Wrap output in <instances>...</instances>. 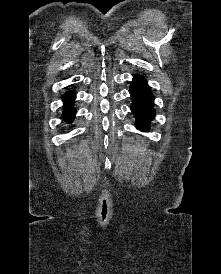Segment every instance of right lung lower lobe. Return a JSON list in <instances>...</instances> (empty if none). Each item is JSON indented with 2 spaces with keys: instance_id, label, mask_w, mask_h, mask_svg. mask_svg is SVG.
<instances>
[{
  "instance_id": "98d812e1",
  "label": "right lung lower lobe",
  "mask_w": 221,
  "mask_h": 274,
  "mask_svg": "<svg viewBox=\"0 0 221 274\" xmlns=\"http://www.w3.org/2000/svg\"><path fill=\"white\" fill-rule=\"evenodd\" d=\"M75 93L72 91H68L63 99L64 102V110H63V118L66 122H71L75 116V109L73 108L72 104L75 99Z\"/></svg>"
}]
</instances>
